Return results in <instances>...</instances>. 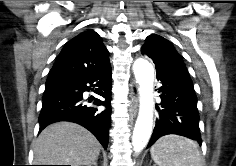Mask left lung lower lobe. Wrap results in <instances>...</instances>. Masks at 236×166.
<instances>
[{
	"label": "left lung lower lobe",
	"instance_id": "obj_1",
	"mask_svg": "<svg viewBox=\"0 0 236 166\" xmlns=\"http://www.w3.org/2000/svg\"><path fill=\"white\" fill-rule=\"evenodd\" d=\"M157 79L162 84L159 117L147 148L167 134L185 136L201 145L197 97L186 66L157 70Z\"/></svg>",
	"mask_w": 236,
	"mask_h": 166
}]
</instances>
